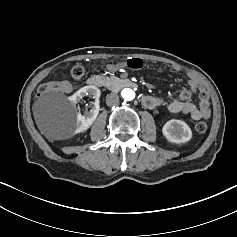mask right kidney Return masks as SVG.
<instances>
[{
  "label": "right kidney",
  "mask_w": 237,
  "mask_h": 237,
  "mask_svg": "<svg viewBox=\"0 0 237 237\" xmlns=\"http://www.w3.org/2000/svg\"><path fill=\"white\" fill-rule=\"evenodd\" d=\"M100 95L101 92L99 88L94 85H88L82 87L69 97V100L74 104L80 102L85 96H90L95 99L90 111L85 110L83 115L80 112L77 113L75 133H80L87 130L96 120L100 110Z\"/></svg>",
  "instance_id": "1"
}]
</instances>
